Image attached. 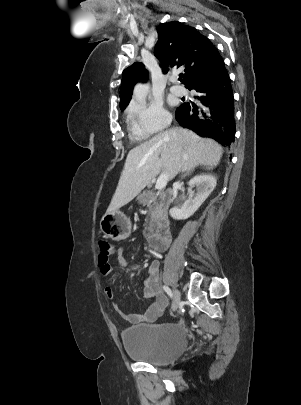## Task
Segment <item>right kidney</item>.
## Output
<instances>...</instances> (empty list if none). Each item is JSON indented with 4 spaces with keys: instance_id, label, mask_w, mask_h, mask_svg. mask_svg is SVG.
Segmentation results:
<instances>
[{
    "instance_id": "right-kidney-1",
    "label": "right kidney",
    "mask_w": 301,
    "mask_h": 405,
    "mask_svg": "<svg viewBox=\"0 0 301 405\" xmlns=\"http://www.w3.org/2000/svg\"><path fill=\"white\" fill-rule=\"evenodd\" d=\"M216 184L215 177L210 174H200L193 177L188 183V199L183 203L181 208H171L169 211L170 216L176 220H185L191 217L211 194ZM194 187L197 189L195 197L192 192V188Z\"/></svg>"
}]
</instances>
